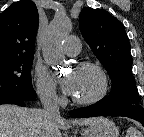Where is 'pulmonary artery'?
Listing matches in <instances>:
<instances>
[{"label": "pulmonary artery", "mask_w": 144, "mask_h": 137, "mask_svg": "<svg viewBox=\"0 0 144 137\" xmlns=\"http://www.w3.org/2000/svg\"><path fill=\"white\" fill-rule=\"evenodd\" d=\"M81 42L78 37L70 35L65 39L63 44L64 52L69 56H75L80 52Z\"/></svg>", "instance_id": "obj_1"}]
</instances>
